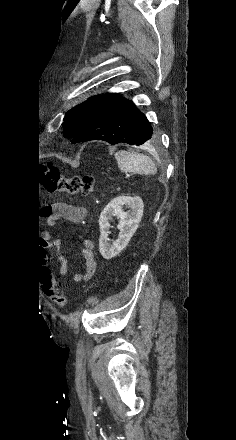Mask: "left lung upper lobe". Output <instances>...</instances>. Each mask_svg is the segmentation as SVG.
Masks as SVG:
<instances>
[{"label":"left lung upper lobe","mask_w":236,"mask_h":440,"mask_svg":"<svg viewBox=\"0 0 236 440\" xmlns=\"http://www.w3.org/2000/svg\"><path fill=\"white\" fill-rule=\"evenodd\" d=\"M117 96L118 94L114 93L94 96L69 110L64 117L63 135L73 138L93 115Z\"/></svg>","instance_id":"1"}]
</instances>
